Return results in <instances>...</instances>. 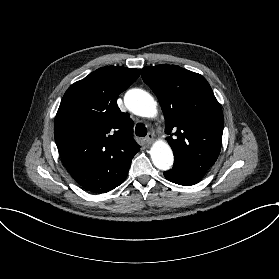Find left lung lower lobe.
Listing matches in <instances>:
<instances>
[{"instance_id":"0a47b994","label":"left lung lower lobe","mask_w":279,"mask_h":279,"mask_svg":"<svg viewBox=\"0 0 279 279\" xmlns=\"http://www.w3.org/2000/svg\"><path fill=\"white\" fill-rule=\"evenodd\" d=\"M205 173L195 172L181 166H173L169 171L164 172V176L171 182H174L179 185H194L199 182Z\"/></svg>"}]
</instances>
